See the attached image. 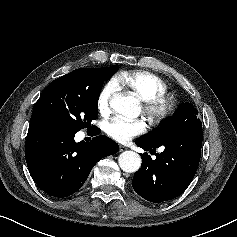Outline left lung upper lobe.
Returning <instances> with one entry per match:
<instances>
[{"mask_svg":"<svg viewBox=\"0 0 237 237\" xmlns=\"http://www.w3.org/2000/svg\"><path fill=\"white\" fill-rule=\"evenodd\" d=\"M197 114L198 111L192 104L183 103L173 116L162 121L159 128L140 138L150 144H161L184 131L191 123L198 119Z\"/></svg>","mask_w":237,"mask_h":237,"instance_id":"obj_1","label":"left lung upper lobe"}]
</instances>
